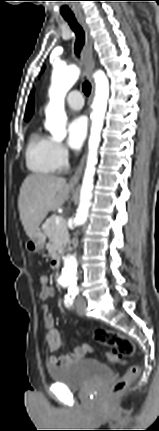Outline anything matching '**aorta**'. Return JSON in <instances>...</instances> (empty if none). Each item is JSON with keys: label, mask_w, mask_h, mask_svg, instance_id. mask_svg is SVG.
I'll return each mask as SVG.
<instances>
[{"label": "aorta", "mask_w": 159, "mask_h": 431, "mask_svg": "<svg viewBox=\"0 0 159 431\" xmlns=\"http://www.w3.org/2000/svg\"><path fill=\"white\" fill-rule=\"evenodd\" d=\"M79 75L80 70L75 65L69 67H54L49 90L50 102L46 109L45 126L57 140H62L66 136L65 125L67 117L64 111V99L66 93L79 78ZM94 80L96 88L95 98L92 104L93 113L91 115L92 127L89 138V153L81 187L79 208L75 217L76 226L83 225L88 217L94 186L93 181L95 165L97 163V149L101 140L100 134L109 98V81L105 73L102 70L96 71ZM77 269V258L74 255H67L64 258L61 279L71 287L76 285Z\"/></svg>", "instance_id": "1"}]
</instances>
